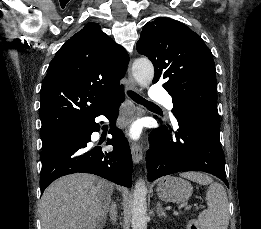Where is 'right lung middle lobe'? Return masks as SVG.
I'll return each instance as SVG.
<instances>
[{
    "label": "right lung middle lobe",
    "instance_id": "1",
    "mask_svg": "<svg viewBox=\"0 0 261 229\" xmlns=\"http://www.w3.org/2000/svg\"><path fill=\"white\" fill-rule=\"evenodd\" d=\"M59 133L55 130L41 131L42 148L49 146L51 143L59 139Z\"/></svg>",
    "mask_w": 261,
    "mask_h": 229
}]
</instances>
